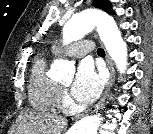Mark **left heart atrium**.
<instances>
[{
  "mask_svg": "<svg viewBox=\"0 0 153 134\" xmlns=\"http://www.w3.org/2000/svg\"><path fill=\"white\" fill-rule=\"evenodd\" d=\"M103 84L104 79L101 72L88 63H81L72 85V94L78 101L90 103L99 96Z\"/></svg>",
  "mask_w": 153,
  "mask_h": 134,
  "instance_id": "obj_1",
  "label": "left heart atrium"
}]
</instances>
